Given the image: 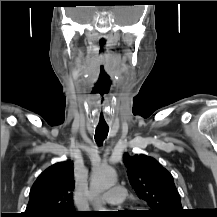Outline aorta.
<instances>
[{
    "label": "aorta",
    "mask_w": 217,
    "mask_h": 217,
    "mask_svg": "<svg viewBox=\"0 0 217 217\" xmlns=\"http://www.w3.org/2000/svg\"><path fill=\"white\" fill-rule=\"evenodd\" d=\"M116 173L112 167L105 166L95 169L91 175L89 198L95 200L100 194L115 185ZM98 211H107L104 207L95 204Z\"/></svg>",
    "instance_id": "aorta-1"
}]
</instances>
